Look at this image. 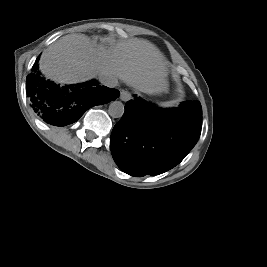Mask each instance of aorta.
<instances>
[{
    "label": "aorta",
    "mask_w": 267,
    "mask_h": 267,
    "mask_svg": "<svg viewBox=\"0 0 267 267\" xmlns=\"http://www.w3.org/2000/svg\"><path fill=\"white\" fill-rule=\"evenodd\" d=\"M124 105L120 101H114L109 105L108 113L113 118H120L124 114Z\"/></svg>",
    "instance_id": "1"
}]
</instances>
